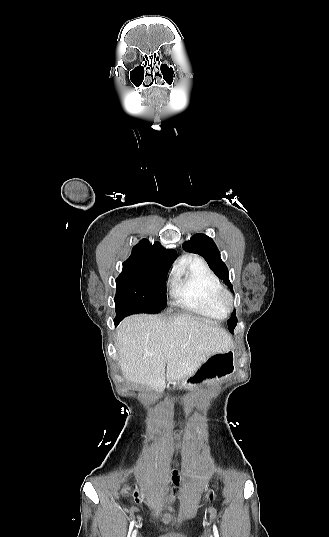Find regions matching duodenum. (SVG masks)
Wrapping results in <instances>:
<instances>
[{
    "instance_id": "410a0bca",
    "label": "duodenum",
    "mask_w": 329,
    "mask_h": 537,
    "mask_svg": "<svg viewBox=\"0 0 329 537\" xmlns=\"http://www.w3.org/2000/svg\"><path fill=\"white\" fill-rule=\"evenodd\" d=\"M167 386H168L169 388H172V387L174 386V383H173L172 381H170V382L167 383Z\"/></svg>"
}]
</instances>
